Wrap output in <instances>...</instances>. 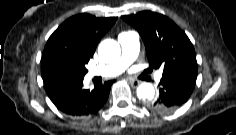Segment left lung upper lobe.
I'll return each mask as SVG.
<instances>
[{
    "label": "left lung upper lobe",
    "mask_w": 236,
    "mask_h": 135,
    "mask_svg": "<svg viewBox=\"0 0 236 135\" xmlns=\"http://www.w3.org/2000/svg\"><path fill=\"white\" fill-rule=\"evenodd\" d=\"M141 35L150 66L163 73L198 69L196 54L189 38L168 17L142 11L122 16Z\"/></svg>",
    "instance_id": "1"
}]
</instances>
